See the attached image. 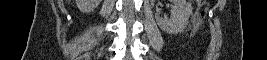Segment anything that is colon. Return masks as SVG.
I'll return each mask as SVG.
<instances>
[{"mask_svg":"<svg viewBox=\"0 0 267 60\" xmlns=\"http://www.w3.org/2000/svg\"><path fill=\"white\" fill-rule=\"evenodd\" d=\"M204 24V22L203 21H200V25L202 26Z\"/></svg>","mask_w":267,"mask_h":60,"instance_id":"5ec220e1","label":"colon"}]
</instances>
